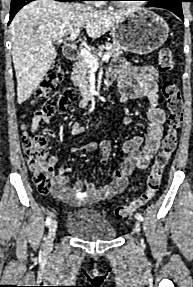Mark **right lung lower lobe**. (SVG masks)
Masks as SVG:
<instances>
[{
    "label": "right lung lower lobe",
    "mask_w": 193,
    "mask_h": 287,
    "mask_svg": "<svg viewBox=\"0 0 193 287\" xmlns=\"http://www.w3.org/2000/svg\"><path fill=\"white\" fill-rule=\"evenodd\" d=\"M34 0H12L11 1V10H10V19H9V23L11 22V20L13 19V17L15 16V14L26 4L32 2ZM57 1H62V2H71L74 0H57ZM84 1V0H81Z\"/></svg>",
    "instance_id": "obj_1"
}]
</instances>
